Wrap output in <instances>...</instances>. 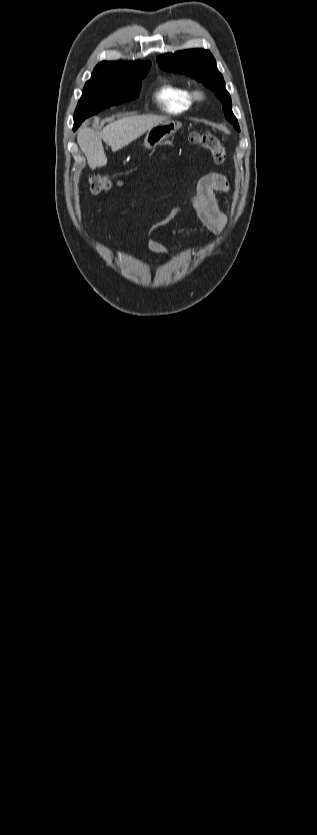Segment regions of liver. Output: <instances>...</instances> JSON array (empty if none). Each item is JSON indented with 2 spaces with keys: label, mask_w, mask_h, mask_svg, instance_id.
Instances as JSON below:
<instances>
[{
  "label": "liver",
  "mask_w": 317,
  "mask_h": 835,
  "mask_svg": "<svg viewBox=\"0 0 317 835\" xmlns=\"http://www.w3.org/2000/svg\"><path fill=\"white\" fill-rule=\"evenodd\" d=\"M163 121H165L164 117L149 115L123 117L110 122L101 132H96L84 125L78 132L77 142L86 155L89 167L95 169L107 164L102 140L111 146L113 152H116Z\"/></svg>",
  "instance_id": "1"
}]
</instances>
